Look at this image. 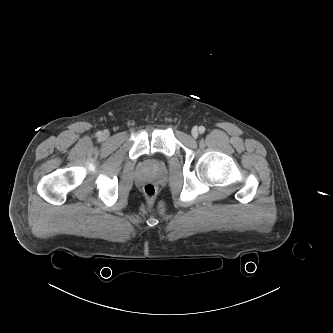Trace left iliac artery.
<instances>
[{
    "instance_id": "obj_1",
    "label": "left iliac artery",
    "mask_w": 333,
    "mask_h": 333,
    "mask_svg": "<svg viewBox=\"0 0 333 333\" xmlns=\"http://www.w3.org/2000/svg\"><path fill=\"white\" fill-rule=\"evenodd\" d=\"M199 132L202 134L205 132V127L204 126H200L199 127Z\"/></svg>"
}]
</instances>
